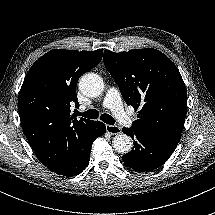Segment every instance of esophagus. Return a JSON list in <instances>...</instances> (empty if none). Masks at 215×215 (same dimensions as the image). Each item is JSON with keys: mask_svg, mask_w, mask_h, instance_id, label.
Returning <instances> with one entry per match:
<instances>
[{"mask_svg": "<svg viewBox=\"0 0 215 215\" xmlns=\"http://www.w3.org/2000/svg\"><path fill=\"white\" fill-rule=\"evenodd\" d=\"M106 131L112 135H118L122 133V129L117 125H106Z\"/></svg>", "mask_w": 215, "mask_h": 215, "instance_id": "1", "label": "esophagus"}]
</instances>
